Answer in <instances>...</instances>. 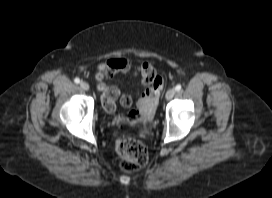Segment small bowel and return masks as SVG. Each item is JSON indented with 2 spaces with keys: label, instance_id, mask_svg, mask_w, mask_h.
Returning <instances> with one entry per match:
<instances>
[{
  "label": "small bowel",
  "instance_id": "1",
  "mask_svg": "<svg viewBox=\"0 0 272 198\" xmlns=\"http://www.w3.org/2000/svg\"><path fill=\"white\" fill-rule=\"evenodd\" d=\"M108 65L111 68L112 74H126L129 73L133 68L131 63L122 58H116L111 60ZM134 71L140 76L142 84L145 89L139 94L127 93L120 95V90L117 87H110L103 94V105L108 112H113L116 107V101L119 99L123 107H131L135 95H138L139 104H153L156 101V96L162 89V79L158 77L153 67L147 62H141L134 67ZM147 80H151L150 84H146Z\"/></svg>",
  "mask_w": 272,
  "mask_h": 198
}]
</instances>
